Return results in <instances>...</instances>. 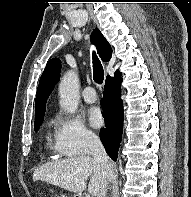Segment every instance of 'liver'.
Wrapping results in <instances>:
<instances>
[{
  "label": "liver",
  "mask_w": 191,
  "mask_h": 197,
  "mask_svg": "<svg viewBox=\"0 0 191 197\" xmlns=\"http://www.w3.org/2000/svg\"><path fill=\"white\" fill-rule=\"evenodd\" d=\"M110 174L113 175L112 164ZM89 177L88 192L92 196H97L105 180V169L89 155L50 162L37 168L33 173L34 181H46L79 195L86 189V180Z\"/></svg>",
  "instance_id": "obj_1"
}]
</instances>
